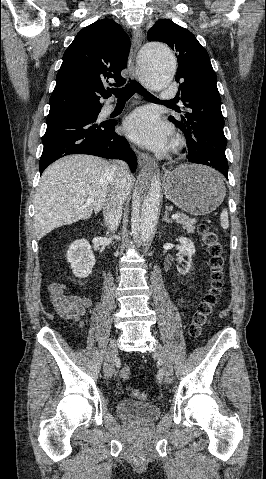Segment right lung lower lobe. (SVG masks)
Listing matches in <instances>:
<instances>
[{
	"mask_svg": "<svg viewBox=\"0 0 266 479\" xmlns=\"http://www.w3.org/2000/svg\"><path fill=\"white\" fill-rule=\"evenodd\" d=\"M99 114V112H98ZM75 110L50 111L43 137L40 174L57 159L70 154H90L128 162L132 172L136 157L125 138L115 133L116 121L97 122V116Z\"/></svg>",
	"mask_w": 266,
	"mask_h": 479,
	"instance_id": "1",
	"label": "right lung lower lobe"
}]
</instances>
